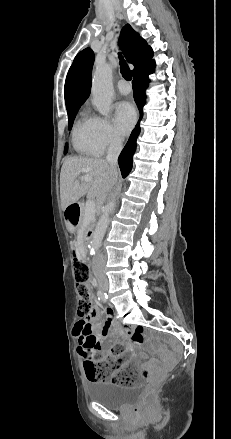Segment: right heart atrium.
I'll use <instances>...</instances> for the list:
<instances>
[{"label":"right heart atrium","instance_id":"right-heart-atrium-1","mask_svg":"<svg viewBox=\"0 0 231 439\" xmlns=\"http://www.w3.org/2000/svg\"><path fill=\"white\" fill-rule=\"evenodd\" d=\"M90 126L91 139L100 153L121 144L120 134L107 118L96 115L91 116Z\"/></svg>","mask_w":231,"mask_h":439}]
</instances>
